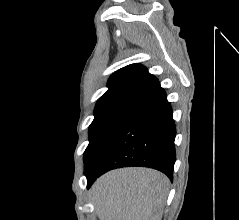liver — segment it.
<instances>
[{
  "label": "liver",
  "mask_w": 239,
  "mask_h": 220,
  "mask_svg": "<svg viewBox=\"0 0 239 220\" xmlns=\"http://www.w3.org/2000/svg\"><path fill=\"white\" fill-rule=\"evenodd\" d=\"M168 185L153 169H117L96 180L92 201L100 220H161Z\"/></svg>",
  "instance_id": "liver-1"
}]
</instances>
